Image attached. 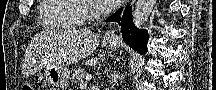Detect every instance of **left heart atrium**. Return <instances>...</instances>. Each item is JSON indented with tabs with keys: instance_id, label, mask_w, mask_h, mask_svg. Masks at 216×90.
Instances as JSON below:
<instances>
[{
	"instance_id": "39dd6f15",
	"label": "left heart atrium",
	"mask_w": 216,
	"mask_h": 90,
	"mask_svg": "<svg viewBox=\"0 0 216 90\" xmlns=\"http://www.w3.org/2000/svg\"><path fill=\"white\" fill-rule=\"evenodd\" d=\"M101 10H116L123 0H96Z\"/></svg>"
}]
</instances>
